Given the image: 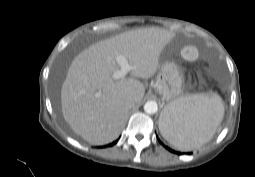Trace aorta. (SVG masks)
<instances>
[{"instance_id":"762f6f07","label":"aorta","mask_w":255,"mask_h":177,"mask_svg":"<svg viewBox=\"0 0 255 177\" xmlns=\"http://www.w3.org/2000/svg\"><path fill=\"white\" fill-rule=\"evenodd\" d=\"M158 110V105L155 101H147L144 105V111L148 114H154Z\"/></svg>"}]
</instances>
